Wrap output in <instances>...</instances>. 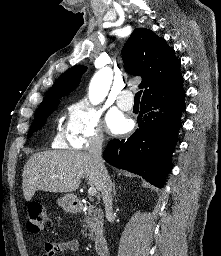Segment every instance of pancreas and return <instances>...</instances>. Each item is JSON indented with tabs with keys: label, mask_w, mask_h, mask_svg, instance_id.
Instances as JSON below:
<instances>
[{
	"label": "pancreas",
	"mask_w": 221,
	"mask_h": 256,
	"mask_svg": "<svg viewBox=\"0 0 221 256\" xmlns=\"http://www.w3.org/2000/svg\"><path fill=\"white\" fill-rule=\"evenodd\" d=\"M83 219V230L82 232H86L87 230L90 232L89 238L93 239V234L102 230L103 227V218L100 209L96 208L94 205H89L84 213ZM87 235V234H85Z\"/></svg>",
	"instance_id": "cf45deb5"
}]
</instances>
